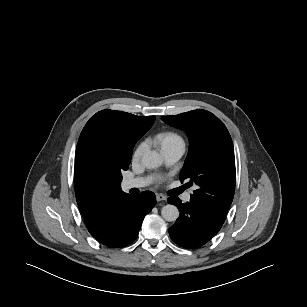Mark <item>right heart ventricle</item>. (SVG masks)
Masks as SVG:
<instances>
[{
  "label": "right heart ventricle",
  "mask_w": 307,
  "mask_h": 307,
  "mask_svg": "<svg viewBox=\"0 0 307 307\" xmlns=\"http://www.w3.org/2000/svg\"><path fill=\"white\" fill-rule=\"evenodd\" d=\"M157 140L161 145V149L166 147L176 145V144H184L182 138L174 133V132H163L157 136Z\"/></svg>",
  "instance_id": "e07e8e85"
}]
</instances>
